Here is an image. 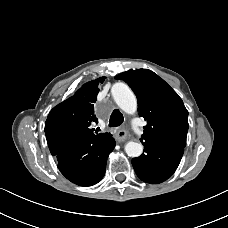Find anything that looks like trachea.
<instances>
[{
    "instance_id": "3493384b",
    "label": "trachea",
    "mask_w": 228,
    "mask_h": 228,
    "mask_svg": "<svg viewBox=\"0 0 228 228\" xmlns=\"http://www.w3.org/2000/svg\"><path fill=\"white\" fill-rule=\"evenodd\" d=\"M123 121L124 117L122 113L118 109H115L110 116L109 127L120 126Z\"/></svg>"
}]
</instances>
